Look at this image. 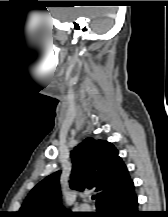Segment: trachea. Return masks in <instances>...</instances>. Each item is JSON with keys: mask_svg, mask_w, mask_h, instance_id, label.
Instances as JSON below:
<instances>
[{"mask_svg": "<svg viewBox=\"0 0 168 217\" xmlns=\"http://www.w3.org/2000/svg\"><path fill=\"white\" fill-rule=\"evenodd\" d=\"M92 199L94 200V199H95V196H93Z\"/></svg>", "mask_w": 168, "mask_h": 217, "instance_id": "obj_1", "label": "trachea"}]
</instances>
